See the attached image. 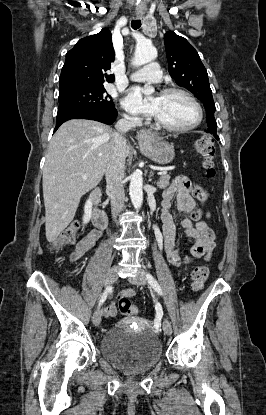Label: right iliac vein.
I'll return each instance as SVG.
<instances>
[{
    "label": "right iliac vein",
    "instance_id": "right-iliac-vein-1",
    "mask_svg": "<svg viewBox=\"0 0 266 415\" xmlns=\"http://www.w3.org/2000/svg\"><path fill=\"white\" fill-rule=\"evenodd\" d=\"M118 278V266H113L106 277V285H110L112 283H114ZM101 317H102V309L98 308L95 310L94 314H93V324L95 326H98L101 322Z\"/></svg>",
    "mask_w": 266,
    "mask_h": 415
}]
</instances>
